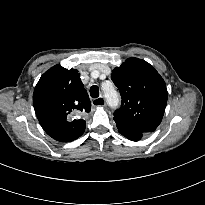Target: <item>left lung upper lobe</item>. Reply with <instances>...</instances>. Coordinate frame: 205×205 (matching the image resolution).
<instances>
[{"label":"left lung upper lobe","mask_w":205,"mask_h":205,"mask_svg":"<svg viewBox=\"0 0 205 205\" xmlns=\"http://www.w3.org/2000/svg\"><path fill=\"white\" fill-rule=\"evenodd\" d=\"M111 79L122 98L121 107L114 112L115 122L144 133L155 131L167 103L166 85L156 69L132 57L113 70Z\"/></svg>","instance_id":"5c2ea615"}]
</instances>
